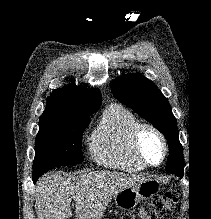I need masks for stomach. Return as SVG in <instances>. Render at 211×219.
Wrapping results in <instances>:
<instances>
[{"mask_svg": "<svg viewBox=\"0 0 211 219\" xmlns=\"http://www.w3.org/2000/svg\"><path fill=\"white\" fill-rule=\"evenodd\" d=\"M159 190L158 181L147 179L138 185L121 190L114 197V205L121 210H130L135 208L140 200L154 196Z\"/></svg>", "mask_w": 211, "mask_h": 219, "instance_id": "stomach-1", "label": "stomach"}]
</instances>
